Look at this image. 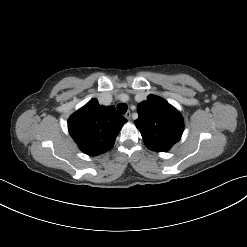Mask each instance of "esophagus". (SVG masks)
Wrapping results in <instances>:
<instances>
[{"label":"esophagus","instance_id":"esophagus-1","mask_svg":"<svg viewBox=\"0 0 247 247\" xmlns=\"http://www.w3.org/2000/svg\"><path fill=\"white\" fill-rule=\"evenodd\" d=\"M124 116L126 119L130 120L131 119V112L130 111L126 112Z\"/></svg>","mask_w":247,"mask_h":247}]
</instances>
